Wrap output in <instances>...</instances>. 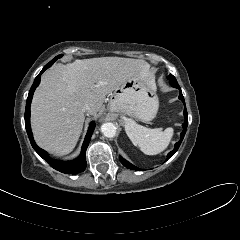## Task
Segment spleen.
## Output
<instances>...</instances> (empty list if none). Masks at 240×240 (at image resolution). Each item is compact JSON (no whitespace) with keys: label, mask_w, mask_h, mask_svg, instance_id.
Wrapping results in <instances>:
<instances>
[{"label":"spleen","mask_w":240,"mask_h":240,"mask_svg":"<svg viewBox=\"0 0 240 240\" xmlns=\"http://www.w3.org/2000/svg\"><path fill=\"white\" fill-rule=\"evenodd\" d=\"M125 131L135 146L146 155H157L163 152L169 145L174 130L166 128L150 129L137 124L132 119H127L125 123Z\"/></svg>","instance_id":"3e777b00"}]
</instances>
